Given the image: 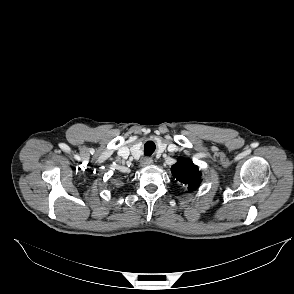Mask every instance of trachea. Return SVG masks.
Segmentation results:
<instances>
[{"mask_svg":"<svg viewBox=\"0 0 294 294\" xmlns=\"http://www.w3.org/2000/svg\"><path fill=\"white\" fill-rule=\"evenodd\" d=\"M155 148H156V146H155L154 142H152V141L146 142L144 145V154L146 156H151L152 153L155 151Z\"/></svg>","mask_w":294,"mask_h":294,"instance_id":"3493384b","label":"trachea"}]
</instances>
